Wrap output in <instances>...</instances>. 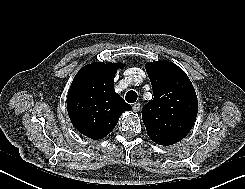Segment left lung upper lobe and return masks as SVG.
Here are the masks:
<instances>
[{
	"instance_id": "obj_1",
	"label": "left lung upper lobe",
	"mask_w": 245,
	"mask_h": 189,
	"mask_svg": "<svg viewBox=\"0 0 245 189\" xmlns=\"http://www.w3.org/2000/svg\"><path fill=\"white\" fill-rule=\"evenodd\" d=\"M154 99L142 109L151 140L172 145L191 130L198 112L197 96L188 76L169 61L147 63Z\"/></svg>"
}]
</instances>
